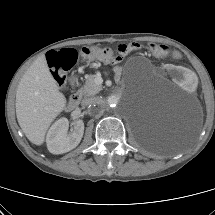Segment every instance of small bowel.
Here are the masks:
<instances>
[{"label":"small bowel","mask_w":215,"mask_h":215,"mask_svg":"<svg viewBox=\"0 0 215 215\" xmlns=\"http://www.w3.org/2000/svg\"><path fill=\"white\" fill-rule=\"evenodd\" d=\"M140 48H141V46H140V44H138L137 50H139ZM137 50H136V51H137ZM126 55H127V54H126ZM123 56H124V55H123ZM116 71H117V73L119 74V73H120V68L118 67Z\"/></svg>","instance_id":"1"}]
</instances>
